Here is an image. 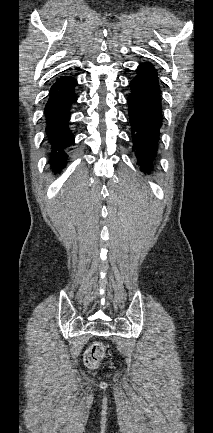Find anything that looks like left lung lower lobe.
<instances>
[{
    "mask_svg": "<svg viewBox=\"0 0 213 433\" xmlns=\"http://www.w3.org/2000/svg\"><path fill=\"white\" fill-rule=\"evenodd\" d=\"M137 75L130 82L128 97L129 121L131 123L133 150L140 170L150 173L157 155L161 119V96L157 71L145 62L138 66Z\"/></svg>",
    "mask_w": 213,
    "mask_h": 433,
    "instance_id": "1",
    "label": "left lung lower lobe"
}]
</instances>
